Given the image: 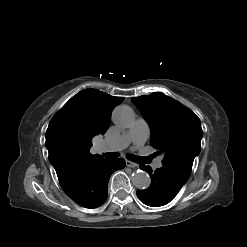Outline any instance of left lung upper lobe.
I'll list each match as a JSON object with an SVG mask.
<instances>
[{
    "mask_svg": "<svg viewBox=\"0 0 247 247\" xmlns=\"http://www.w3.org/2000/svg\"><path fill=\"white\" fill-rule=\"evenodd\" d=\"M151 128L150 143L163 153L162 164L188 180L203 136L199 118L163 93L132 98Z\"/></svg>",
    "mask_w": 247,
    "mask_h": 247,
    "instance_id": "5c2ea615",
    "label": "left lung upper lobe"
}]
</instances>
